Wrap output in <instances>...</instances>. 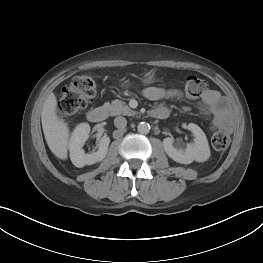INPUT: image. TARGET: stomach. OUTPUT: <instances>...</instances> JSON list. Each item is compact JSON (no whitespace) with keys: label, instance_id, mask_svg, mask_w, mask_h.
I'll return each mask as SVG.
<instances>
[{"label":"stomach","instance_id":"1","mask_svg":"<svg viewBox=\"0 0 263 263\" xmlns=\"http://www.w3.org/2000/svg\"><path fill=\"white\" fill-rule=\"evenodd\" d=\"M144 82L147 84L153 83L154 82V75L153 73H149L146 75Z\"/></svg>","mask_w":263,"mask_h":263}]
</instances>
